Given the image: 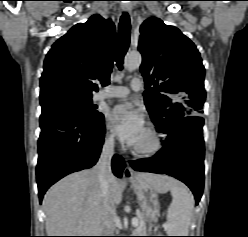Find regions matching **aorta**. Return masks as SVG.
Segmentation results:
<instances>
[{
    "label": "aorta",
    "instance_id": "762f6f07",
    "mask_svg": "<svg viewBox=\"0 0 248 237\" xmlns=\"http://www.w3.org/2000/svg\"><path fill=\"white\" fill-rule=\"evenodd\" d=\"M141 62H142L141 55L137 52H131L125 56L124 67L128 71H133V70L139 68V66L141 65Z\"/></svg>",
    "mask_w": 248,
    "mask_h": 237
}]
</instances>
